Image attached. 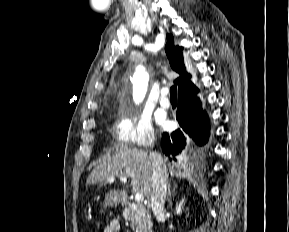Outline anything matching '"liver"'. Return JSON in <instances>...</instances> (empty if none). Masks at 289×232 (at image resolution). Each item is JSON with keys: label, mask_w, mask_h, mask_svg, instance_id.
<instances>
[{"label": "liver", "mask_w": 289, "mask_h": 232, "mask_svg": "<svg viewBox=\"0 0 289 232\" xmlns=\"http://www.w3.org/2000/svg\"><path fill=\"white\" fill-rule=\"evenodd\" d=\"M112 156L104 158L90 173L86 185L107 181L109 177L131 178V186L146 198L152 194L153 166L150 153L117 144ZM163 164L166 166L164 159Z\"/></svg>", "instance_id": "obj_1"}]
</instances>
